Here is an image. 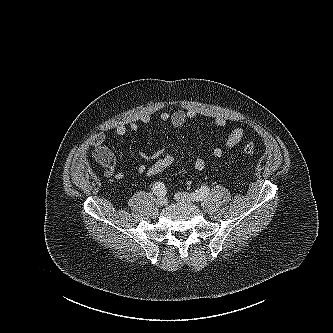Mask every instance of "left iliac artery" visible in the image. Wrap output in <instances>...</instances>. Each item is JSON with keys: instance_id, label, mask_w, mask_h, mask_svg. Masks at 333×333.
Returning a JSON list of instances; mask_svg holds the SVG:
<instances>
[{"instance_id": "obj_1", "label": "left iliac artery", "mask_w": 333, "mask_h": 333, "mask_svg": "<svg viewBox=\"0 0 333 333\" xmlns=\"http://www.w3.org/2000/svg\"><path fill=\"white\" fill-rule=\"evenodd\" d=\"M210 189L208 186H202L200 189L196 190L195 193H193V196L196 198V200H203L209 195Z\"/></svg>"}]
</instances>
